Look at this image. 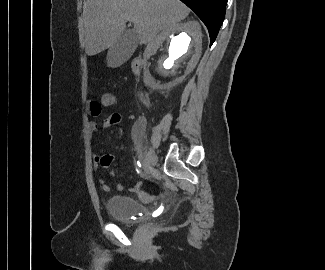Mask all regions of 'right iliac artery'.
Returning a JSON list of instances; mask_svg holds the SVG:
<instances>
[{
  "label": "right iliac artery",
  "instance_id": "82829eb1",
  "mask_svg": "<svg viewBox=\"0 0 325 270\" xmlns=\"http://www.w3.org/2000/svg\"><path fill=\"white\" fill-rule=\"evenodd\" d=\"M152 152L153 150L151 148L146 152L145 160H147L151 156Z\"/></svg>",
  "mask_w": 325,
  "mask_h": 270
}]
</instances>
